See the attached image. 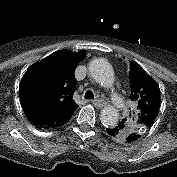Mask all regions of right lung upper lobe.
<instances>
[{"mask_svg":"<svg viewBox=\"0 0 177 177\" xmlns=\"http://www.w3.org/2000/svg\"><path fill=\"white\" fill-rule=\"evenodd\" d=\"M86 51H58L30 67L20 84V100L27 117H37L58 127L78 105L73 101L74 71Z\"/></svg>","mask_w":177,"mask_h":177,"instance_id":"obj_1","label":"right lung upper lobe"}]
</instances>
